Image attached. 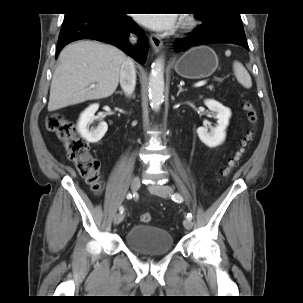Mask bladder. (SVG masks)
I'll use <instances>...</instances> for the list:
<instances>
[{"label": "bladder", "mask_w": 303, "mask_h": 303, "mask_svg": "<svg viewBox=\"0 0 303 303\" xmlns=\"http://www.w3.org/2000/svg\"><path fill=\"white\" fill-rule=\"evenodd\" d=\"M125 244L143 256H160L169 253L174 247L171 233L152 225L136 224L125 234Z\"/></svg>", "instance_id": "1"}]
</instances>
